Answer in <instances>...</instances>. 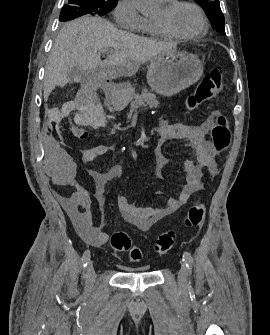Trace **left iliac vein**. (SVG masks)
Instances as JSON below:
<instances>
[{"label": "left iliac vein", "instance_id": "4c4485c4", "mask_svg": "<svg viewBox=\"0 0 270 335\" xmlns=\"http://www.w3.org/2000/svg\"><path fill=\"white\" fill-rule=\"evenodd\" d=\"M187 273H188L187 266L184 262H182L180 270L178 272V283L181 286H184L187 282Z\"/></svg>", "mask_w": 270, "mask_h": 335}]
</instances>
